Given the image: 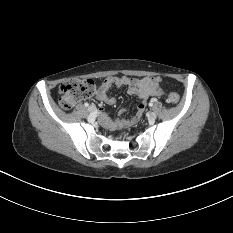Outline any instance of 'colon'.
<instances>
[{
  "instance_id": "obj_1",
  "label": "colon",
  "mask_w": 233,
  "mask_h": 233,
  "mask_svg": "<svg viewBox=\"0 0 233 233\" xmlns=\"http://www.w3.org/2000/svg\"><path fill=\"white\" fill-rule=\"evenodd\" d=\"M95 91L96 85L91 79L64 82L59 87V104L63 109L70 110L77 101L91 97ZM167 99L170 103L176 104L180 97L176 92H171Z\"/></svg>"
}]
</instances>
